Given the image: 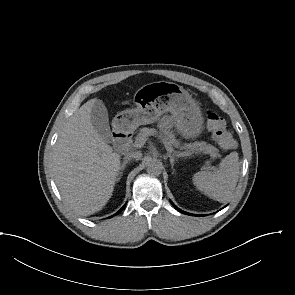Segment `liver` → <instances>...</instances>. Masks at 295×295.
Masks as SVG:
<instances>
[{
    "label": "liver",
    "mask_w": 295,
    "mask_h": 295,
    "mask_svg": "<svg viewBox=\"0 0 295 295\" xmlns=\"http://www.w3.org/2000/svg\"><path fill=\"white\" fill-rule=\"evenodd\" d=\"M97 99L84 103L59 134L52 155L55 183L65 203L81 216L100 211L112 196L120 155L91 122Z\"/></svg>",
    "instance_id": "obj_1"
}]
</instances>
